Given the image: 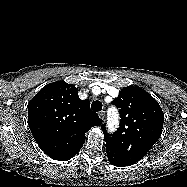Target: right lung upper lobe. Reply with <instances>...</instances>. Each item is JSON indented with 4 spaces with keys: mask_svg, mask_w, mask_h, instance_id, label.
<instances>
[{
    "mask_svg": "<svg viewBox=\"0 0 187 187\" xmlns=\"http://www.w3.org/2000/svg\"><path fill=\"white\" fill-rule=\"evenodd\" d=\"M102 120L78 97L73 84L57 81L43 87L28 104V124L39 147L52 159L75 156L85 133Z\"/></svg>",
    "mask_w": 187,
    "mask_h": 187,
    "instance_id": "right-lung-upper-lobe-1",
    "label": "right lung upper lobe"
}]
</instances>
